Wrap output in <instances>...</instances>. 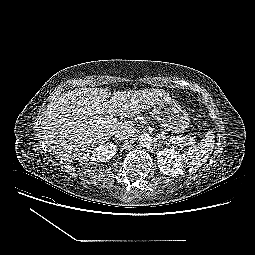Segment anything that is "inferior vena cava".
<instances>
[{
	"label": "inferior vena cava",
	"instance_id": "inferior-vena-cava-1",
	"mask_svg": "<svg viewBox=\"0 0 255 255\" xmlns=\"http://www.w3.org/2000/svg\"><path fill=\"white\" fill-rule=\"evenodd\" d=\"M135 130L131 127H127L124 129H120L118 131L115 132V137L118 140H125V139H129L130 137L133 136Z\"/></svg>",
	"mask_w": 255,
	"mask_h": 255
}]
</instances>
